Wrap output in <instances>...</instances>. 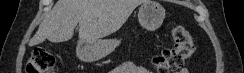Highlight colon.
Segmentation results:
<instances>
[{
	"label": "colon",
	"mask_w": 244,
	"mask_h": 73,
	"mask_svg": "<svg viewBox=\"0 0 244 73\" xmlns=\"http://www.w3.org/2000/svg\"><path fill=\"white\" fill-rule=\"evenodd\" d=\"M174 45L164 48L152 58L158 73H174L194 54L195 43L190 32L180 24L171 30ZM55 57L42 48H35L27 62L26 73H52Z\"/></svg>",
	"instance_id": "5ec220e1"
}]
</instances>
